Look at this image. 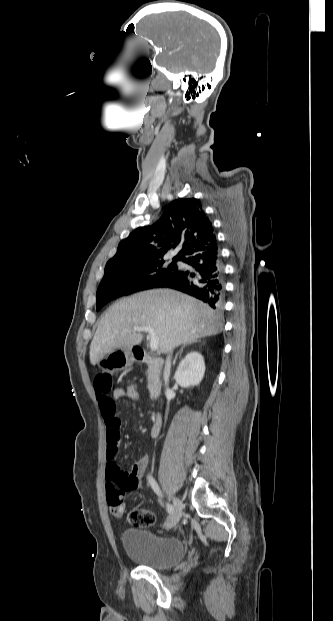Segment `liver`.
Wrapping results in <instances>:
<instances>
[{
    "label": "liver",
    "instance_id": "6515ba94",
    "mask_svg": "<svg viewBox=\"0 0 333 621\" xmlns=\"http://www.w3.org/2000/svg\"><path fill=\"white\" fill-rule=\"evenodd\" d=\"M134 326L154 328L162 353L222 331L221 315L190 296L169 289L136 293L119 300L102 317L90 345L91 364L140 344L143 335L134 332Z\"/></svg>",
    "mask_w": 333,
    "mask_h": 621
}]
</instances>
